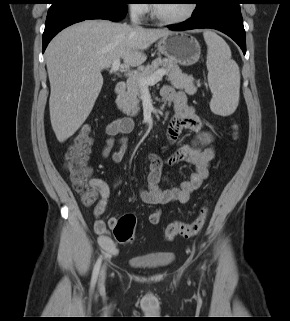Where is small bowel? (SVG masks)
I'll return each instance as SVG.
<instances>
[{
  "label": "small bowel",
  "mask_w": 290,
  "mask_h": 321,
  "mask_svg": "<svg viewBox=\"0 0 290 321\" xmlns=\"http://www.w3.org/2000/svg\"><path fill=\"white\" fill-rule=\"evenodd\" d=\"M162 97L173 102L175 114L170 119L166 129V140L168 144L177 141L184 129L192 130L196 133L193 145H184L166 157L153 154L150 157V170L147 177V188L140 191V198L148 204L159 206L148 217L150 224H158L163 216L161 206L171 202L186 204L191 194L196 191L209 175V166L215 156V150L211 146L212 135L204 129L203 121L196 115L194 108L188 104L186 93L183 90H176L172 86L166 85L161 90ZM134 129V121L130 117H122L112 121L106 128L107 138L101 150L105 159L113 163H119L127 149V134ZM120 137V148L112 152L115 137ZM178 162H184L194 167V171L188 180L183 181L179 186L169 189L160 187L161 177L166 167ZM91 186L95 189L99 200L93 208V226L95 232L100 236V245L110 253H115L116 249L112 241L107 237L110 227L117 221L111 217L106 223L102 216L106 212L111 193L110 186L100 178L90 180ZM121 179L116 177L113 187L118 188Z\"/></svg>",
  "instance_id": "small-bowel-1"
}]
</instances>
